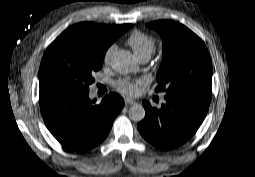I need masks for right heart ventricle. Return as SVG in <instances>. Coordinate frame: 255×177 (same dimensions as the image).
Returning a JSON list of instances; mask_svg holds the SVG:
<instances>
[{
    "mask_svg": "<svg viewBox=\"0 0 255 177\" xmlns=\"http://www.w3.org/2000/svg\"><path fill=\"white\" fill-rule=\"evenodd\" d=\"M127 43L139 60L143 57H150L156 47L155 40L141 31L133 32L129 36Z\"/></svg>",
    "mask_w": 255,
    "mask_h": 177,
    "instance_id": "obj_1",
    "label": "right heart ventricle"
}]
</instances>
